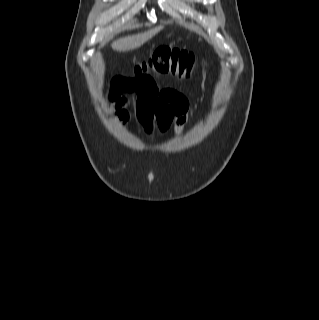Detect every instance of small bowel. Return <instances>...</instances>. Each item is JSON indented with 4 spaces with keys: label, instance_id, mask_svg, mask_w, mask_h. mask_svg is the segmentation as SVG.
<instances>
[{
    "label": "small bowel",
    "instance_id": "small-bowel-1",
    "mask_svg": "<svg viewBox=\"0 0 319 320\" xmlns=\"http://www.w3.org/2000/svg\"><path fill=\"white\" fill-rule=\"evenodd\" d=\"M123 90H126L127 94L138 93L137 114H151L163 125H173L176 133L181 132L189 109L188 101L182 93L172 88L159 89L149 76L126 86H115L108 94L107 100L112 109V116L120 122L128 118L125 108L129 104V98L121 96Z\"/></svg>",
    "mask_w": 319,
    "mask_h": 320
}]
</instances>
